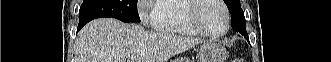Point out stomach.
<instances>
[{
	"instance_id": "1",
	"label": "stomach",
	"mask_w": 331,
	"mask_h": 62,
	"mask_svg": "<svg viewBox=\"0 0 331 62\" xmlns=\"http://www.w3.org/2000/svg\"><path fill=\"white\" fill-rule=\"evenodd\" d=\"M228 56L227 50L215 43L206 42L198 48V59L199 62H225ZM172 62H192L186 58H176Z\"/></svg>"
}]
</instances>
